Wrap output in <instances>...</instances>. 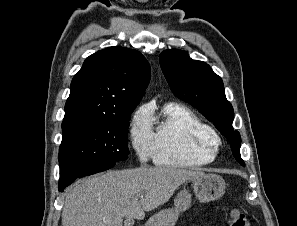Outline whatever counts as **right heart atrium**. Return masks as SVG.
I'll return each mask as SVG.
<instances>
[{
    "label": "right heart atrium",
    "mask_w": 297,
    "mask_h": 226,
    "mask_svg": "<svg viewBox=\"0 0 297 226\" xmlns=\"http://www.w3.org/2000/svg\"><path fill=\"white\" fill-rule=\"evenodd\" d=\"M130 142L136 155L142 162H146L153 157L154 133L150 111L139 108L132 116L130 123Z\"/></svg>",
    "instance_id": "right-heart-atrium-1"
}]
</instances>
